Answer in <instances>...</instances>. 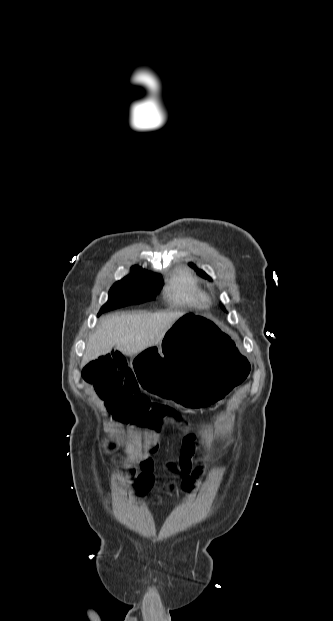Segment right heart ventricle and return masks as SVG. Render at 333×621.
Wrapping results in <instances>:
<instances>
[{
	"instance_id": "obj_1",
	"label": "right heart ventricle",
	"mask_w": 333,
	"mask_h": 621,
	"mask_svg": "<svg viewBox=\"0 0 333 621\" xmlns=\"http://www.w3.org/2000/svg\"><path fill=\"white\" fill-rule=\"evenodd\" d=\"M166 296L177 303L202 307L208 304L209 296L198 280L187 272H179L170 280Z\"/></svg>"
}]
</instances>
